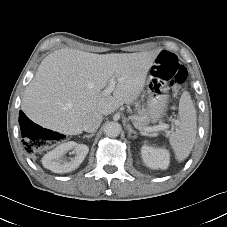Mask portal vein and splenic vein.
I'll list each match as a JSON object with an SVG mask.
<instances>
[{"label": "portal vein and splenic vein", "instance_id": "obj_1", "mask_svg": "<svg viewBox=\"0 0 227 227\" xmlns=\"http://www.w3.org/2000/svg\"><path fill=\"white\" fill-rule=\"evenodd\" d=\"M115 86H116L115 79H113V78L110 79L108 86L103 90V95H105V96L110 95L114 91ZM175 124H178V121H175ZM134 125L137 127V124L134 123ZM137 128H139V127H137ZM168 128H169V125L163 123V124L153 126V127H150V128H139V129H143L145 131L152 132V131L165 130V129H168Z\"/></svg>", "mask_w": 227, "mask_h": 227}]
</instances>
